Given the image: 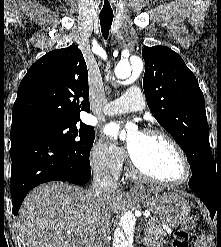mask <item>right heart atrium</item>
Here are the masks:
<instances>
[{"mask_svg":"<svg viewBox=\"0 0 221 247\" xmlns=\"http://www.w3.org/2000/svg\"><path fill=\"white\" fill-rule=\"evenodd\" d=\"M125 159L126 154L123 149L102 140L96 141L90 150L91 167L113 177H118L121 174Z\"/></svg>","mask_w":221,"mask_h":247,"instance_id":"obj_1","label":"right heart atrium"}]
</instances>
